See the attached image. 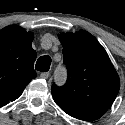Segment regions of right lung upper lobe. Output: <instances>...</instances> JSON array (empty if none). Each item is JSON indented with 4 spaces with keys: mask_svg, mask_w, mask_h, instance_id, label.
I'll list each match as a JSON object with an SVG mask.
<instances>
[{
    "mask_svg": "<svg viewBox=\"0 0 125 125\" xmlns=\"http://www.w3.org/2000/svg\"><path fill=\"white\" fill-rule=\"evenodd\" d=\"M33 34L11 25L0 30V107L16 100L37 75Z\"/></svg>",
    "mask_w": 125,
    "mask_h": 125,
    "instance_id": "cb5924a9",
    "label": "right lung upper lobe"
}]
</instances>
